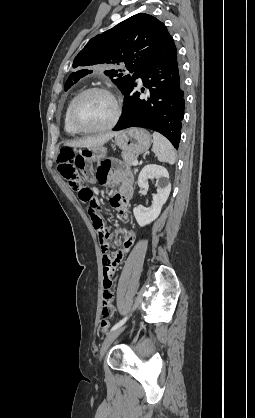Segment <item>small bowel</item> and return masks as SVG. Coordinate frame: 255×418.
<instances>
[{"label":"small bowel","mask_w":255,"mask_h":418,"mask_svg":"<svg viewBox=\"0 0 255 418\" xmlns=\"http://www.w3.org/2000/svg\"><path fill=\"white\" fill-rule=\"evenodd\" d=\"M96 179L104 184L118 186L117 192L111 197L110 203L120 217L127 219L129 216L127 204L132 196V176L128 171H123L115 161L103 162L97 171ZM97 235L100 236L99 247L103 264V295L99 313L103 320H112L113 307V277L119 270L123 256H131L132 243L137 239L130 227H125L116 233L115 228L98 227ZM110 242L115 247H110ZM119 246V247H118Z\"/></svg>","instance_id":"c3829d8e"}]
</instances>
